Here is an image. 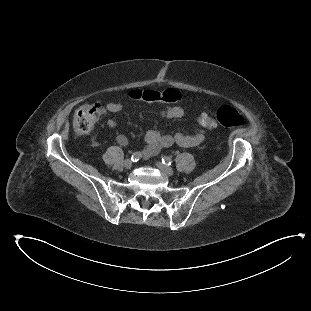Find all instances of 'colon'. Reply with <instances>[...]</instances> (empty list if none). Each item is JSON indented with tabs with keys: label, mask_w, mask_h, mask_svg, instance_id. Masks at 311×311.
Listing matches in <instances>:
<instances>
[{
	"label": "colon",
	"mask_w": 311,
	"mask_h": 311,
	"mask_svg": "<svg viewBox=\"0 0 311 311\" xmlns=\"http://www.w3.org/2000/svg\"><path fill=\"white\" fill-rule=\"evenodd\" d=\"M134 97L149 102H177L181 95L174 89L163 91L155 89H140L134 92ZM108 109V104L103 102L84 103L75 112L73 126L78 135L88 134L94 126L96 118L102 117ZM216 117L220 119L219 125L226 127H241L244 123L242 115L232 106H222L216 110ZM198 121L205 126L214 127L213 121L200 113Z\"/></svg>",
	"instance_id": "obj_1"
}]
</instances>
